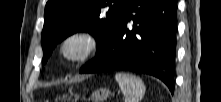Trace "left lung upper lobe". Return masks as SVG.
Wrapping results in <instances>:
<instances>
[{"label": "left lung upper lobe", "mask_w": 221, "mask_h": 102, "mask_svg": "<svg viewBox=\"0 0 221 102\" xmlns=\"http://www.w3.org/2000/svg\"><path fill=\"white\" fill-rule=\"evenodd\" d=\"M127 0H48L42 31L43 60L54 46L78 31L97 40V53L112 36Z\"/></svg>", "instance_id": "obj_1"}]
</instances>
